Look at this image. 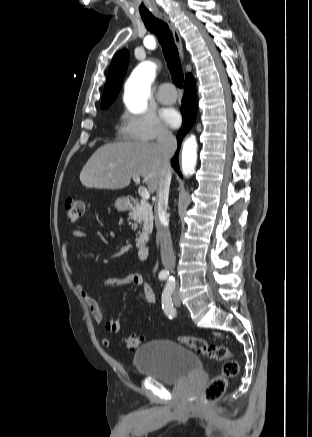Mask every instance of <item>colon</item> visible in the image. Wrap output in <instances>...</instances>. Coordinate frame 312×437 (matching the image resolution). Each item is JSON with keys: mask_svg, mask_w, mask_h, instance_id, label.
Returning <instances> with one entry per match:
<instances>
[{"mask_svg": "<svg viewBox=\"0 0 312 437\" xmlns=\"http://www.w3.org/2000/svg\"><path fill=\"white\" fill-rule=\"evenodd\" d=\"M85 212V203L75 198H67L65 201V219L69 224L77 222ZM179 341L196 353L206 356L212 361L223 362L221 373L214 377L204 389L202 400L212 402L219 399L225 392L230 380L239 374V363L231 357L229 349L220 344L209 343L203 338L192 336H180ZM142 337L128 336L126 346L129 349L138 348L143 342Z\"/></svg>", "mask_w": 312, "mask_h": 437, "instance_id": "1", "label": "colon"}]
</instances>
